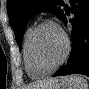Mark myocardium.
Returning <instances> with one entry per match:
<instances>
[{
    "label": "myocardium",
    "mask_w": 89,
    "mask_h": 89,
    "mask_svg": "<svg viewBox=\"0 0 89 89\" xmlns=\"http://www.w3.org/2000/svg\"><path fill=\"white\" fill-rule=\"evenodd\" d=\"M47 25H52V26H55L60 32L61 34L63 35V38H64V43H65V46H64V51H63V54L62 56L60 57V59L51 67L49 68H42L40 67V65L38 64L37 62V58L35 56V51H34V45H35V40H36V37L39 33V31L44 27V26H47ZM69 51H70V40L68 38V35L66 34V32L60 27L58 26L55 22L51 21V20H45V21H42L41 23H39L33 30L32 32V35L30 37V42H29V52H30V58H31V61H32V64L33 66L38 70L40 71L41 73L43 74H49L51 73L52 71L56 70L59 66H61L64 61L66 60L68 54H69Z\"/></svg>",
    "instance_id": "1"
}]
</instances>
